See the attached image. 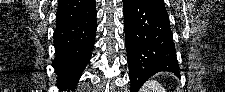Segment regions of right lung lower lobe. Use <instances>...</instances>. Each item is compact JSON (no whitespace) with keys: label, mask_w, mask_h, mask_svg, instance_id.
Segmentation results:
<instances>
[{"label":"right lung lower lobe","mask_w":225,"mask_h":92,"mask_svg":"<svg viewBox=\"0 0 225 92\" xmlns=\"http://www.w3.org/2000/svg\"><path fill=\"white\" fill-rule=\"evenodd\" d=\"M96 33V10L78 20L56 25L54 30L55 60L60 90H74L90 60Z\"/></svg>","instance_id":"1"}]
</instances>
